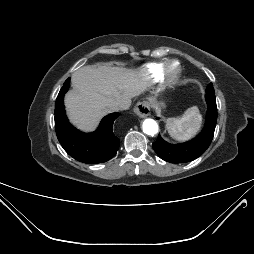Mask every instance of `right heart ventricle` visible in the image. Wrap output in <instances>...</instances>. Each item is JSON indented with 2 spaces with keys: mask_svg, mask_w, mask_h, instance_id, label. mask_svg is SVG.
<instances>
[{
  "mask_svg": "<svg viewBox=\"0 0 254 254\" xmlns=\"http://www.w3.org/2000/svg\"><path fill=\"white\" fill-rule=\"evenodd\" d=\"M166 64V62H156L146 65L143 69L145 77L152 82L161 80Z\"/></svg>",
  "mask_w": 254,
  "mask_h": 254,
  "instance_id": "e07e8e85",
  "label": "right heart ventricle"
}]
</instances>
